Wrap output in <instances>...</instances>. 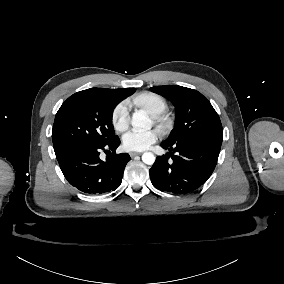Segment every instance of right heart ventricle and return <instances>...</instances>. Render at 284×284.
Listing matches in <instances>:
<instances>
[{
	"label": "right heart ventricle",
	"instance_id": "obj_1",
	"mask_svg": "<svg viewBox=\"0 0 284 284\" xmlns=\"http://www.w3.org/2000/svg\"><path fill=\"white\" fill-rule=\"evenodd\" d=\"M140 104L154 116L161 114L167 109V102L164 97L154 92L142 94Z\"/></svg>",
	"mask_w": 284,
	"mask_h": 284
}]
</instances>
